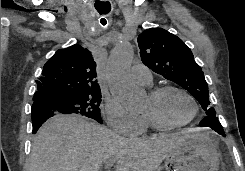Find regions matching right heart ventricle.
<instances>
[{"label": "right heart ventricle", "instance_id": "obj_1", "mask_svg": "<svg viewBox=\"0 0 245 171\" xmlns=\"http://www.w3.org/2000/svg\"><path fill=\"white\" fill-rule=\"evenodd\" d=\"M143 119H144V123H145V129L150 125V122L148 121V119L143 116Z\"/></svg>", "mask_w": 245, "mask_h": 171}]
</instances>
